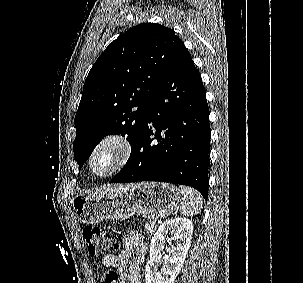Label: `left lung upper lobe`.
<instances>
[{"instance_id": "1", "label": "left lung upper lobe", "mask_w": 303, "mask_h": 283, "mask_svg": "<svg viewBox=\"0 0 303 283\" xmlns=\"http://www.w3.org/2000/svg\"><path fill=\"white\" fill-rule=\"evenodd\" d=\"M185 48L174 30L139 24L110 43L92 66L75 116L74 157L81 168L109 134L137 146L150 101Z\"/></svg>"}]
</instances>
